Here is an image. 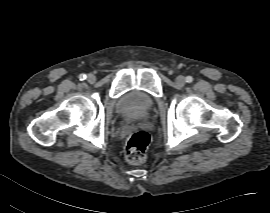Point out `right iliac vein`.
Returning a JSON list of instances; mask_svg holds the SVG:
<instances>
[{
  "label": "right iliac vein",
  "mask_w": 270,
  "mask_h": 213,
  "mask_svg": "<svg viewBox=\"0 0 270 213\" xmlns=\"http://www.w3.org/2000/svg\"><path fill=\"white\" fill-rule=\"evenodd\" d=\"M87 81H88L90 84H93V83L96 81L95 75H93V74H88V76H87Z\"/></svg>",
  "instance_id": "1"
}]
</instances>
